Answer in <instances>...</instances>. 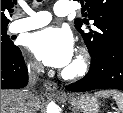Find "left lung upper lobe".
Listing matches in <instances>:
<instances>
[{
    "instance_id": "5c2ea615",
    "label": "left lung upper lobe",
    "mask_w": 123,
    "mask_h": 113,
    "mask_svg": "<svg viewBox=\"0 0 123 113\" xmlns=\"http://www.w3.org/2000/svg\"><path fill=\"white\" fill-rule=\"evenodd\" d=\"M81 4L87 11L83 16L94 21V28L82 31V25H88L87 19H76L75 27L90 54H102L123 45V0H81Z\"/></svg>"
}]
</instances>
